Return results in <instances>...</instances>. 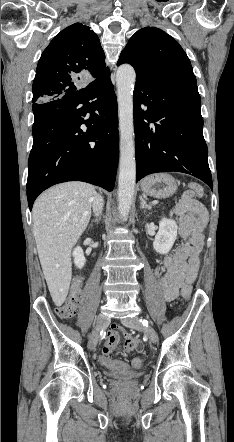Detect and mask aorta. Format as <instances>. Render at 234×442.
<instances>
[{
	"mask_svg": "<svg viewBox=\"0 0 234 442\" xmlns=\"http://www.w3.org/2000/svg\"><path fill=\"white\" fill-rule=\"evenodd\" d=\"M134 68L129 64L118 67L116 73L120 131V161L118 177V210L125 218L130 211L136 181V160L133 124Z\"/></svg>",
	"mask_w": 234,
	"mask_h": 442,
	"instance_id": "aorta-1",
	"label": "aorta"
}]
</instances>
